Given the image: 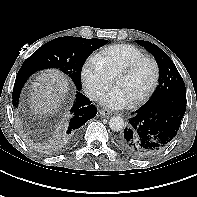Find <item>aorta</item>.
I'll list each match as a JSON object with an SVG mask.
<instances>
[{"label": "aorta", "mask_w": 197, "mask_h": 197, "mask_svg": "<svg viewBox=\"0 0 197 197\" xmlns=\"http://www.w3.org/2000/svg\"><path fill=\"white\" fill-rule=\"evenodd\" d=\"M109 126L111 130L115 132H120L124 129L125 123H124V120L120 116H113L109 120Z\"/></svg>", "instance_id": "obj_1"}]
</instances>
